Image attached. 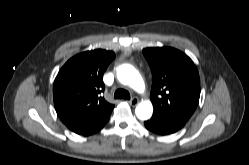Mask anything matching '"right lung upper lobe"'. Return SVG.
<instances>
[{
  "instance_id": "right-lung-upper-lobe-1",
  "label": "right lung upper lobe",
  "mask_w": 249,
  "mask_h": 165,
  "mask_svg": "<svg viewBox=\"0 0 249 165\" xmlns=\"http://www.w3.org/2000/svg\"><path fill=\"white\" fill-rule=\"evenodd\" d=\"M114 58L112 51H86L69 59L59 71L53 86L54 106L71 131L88 134L108 121L114 105L101 93L103 74Z\"/></svg>"
}]
</instances>
